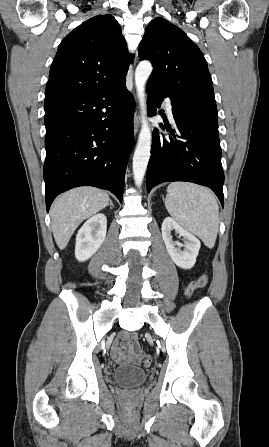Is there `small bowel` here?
<instances>
[{"label":"small bowel","mask_w":269,"mask_h":447,"mask_svg":"<svg viewBox=\"0 0 269 447\" xmlns=\"http://www.w3.org/2000/svg\"><path fill=\"white\" fill-rule=\"evenodd\" d=\"M138 333L135 331L128 334L123 330L119 334L120 344L115 343L111 349L112 359L119 364L126 362H141L143 351L137 343Z\"/></svg>","instance_id":"small-bowel-1"}]
</instances>
